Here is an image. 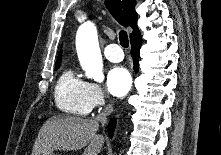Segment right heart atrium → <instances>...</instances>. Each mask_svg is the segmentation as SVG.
I'll list each match as a JSON object with an SVG mask.
<instances>
[{
    "mask_svg": "<svg viewBox=\"0 0 221 155\" xmlns=\"http://www.w3.org/2000/svg\"><path fill=\"white\" fill-rule=\"evenodd\" d=\"M88 98L93 107H101L106 103V94L103 88L94 82H88Z\"/></svg>",
    "mask_w": 221,
    "mask_h": 155,
    "instance_id": "right-heart-atrium-1",
    "label": "right heart atrium"
}]
</instances>
